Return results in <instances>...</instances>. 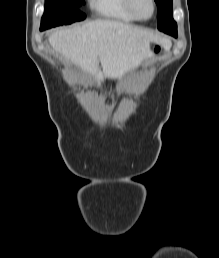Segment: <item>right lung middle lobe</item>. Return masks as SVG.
Here are the masks:
<instances>
[{
  "instance_id": "right-lung-middle-lobe-1",
  "label": "right lung middle lobe",
  "mask_w": 219,
  "mask_h": 258,
  "mask_svg": "<svg viewBox=\"0 0 219 258\" xmlns=\"http://www.w3.org/2000/svg\"><path fill=\"white\" fill-rule=\"evenodd\" d=\"M81 4H84L82 0H45L40 29L45 30L84 20L85 14L78 10Z\"/></svg>"
}]
</instances>
